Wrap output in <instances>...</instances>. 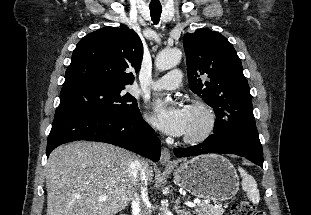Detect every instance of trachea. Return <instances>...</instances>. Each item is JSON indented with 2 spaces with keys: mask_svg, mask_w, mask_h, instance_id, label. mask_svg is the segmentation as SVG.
Segmentation results:
<instances>
[{
  "mask_svg": "<svg viewBox=\"0 0 311 215\" xmlns=\"http://www.w3.org/2000/svg\"><path fill=\"white\" fill-rule=\"evenodd\" d=\"M149 8H150V16H151L152 21L155 24H158L160 21L162 7L161 6H149Z\"/></svg>",
  "mask_w": 311,
  "mask_h": 215,
  "instance_id": "3493384b",
  "label": "trachea"
}]
</instances>
